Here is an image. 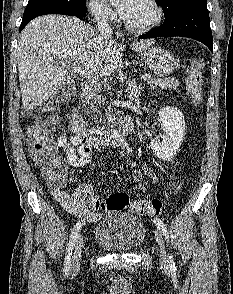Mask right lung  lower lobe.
<instances>
[{
  "instance_id": "98d812e1",
  "label": "right lung lower lobe",
  "mask_w": 233,
  "mask_h": 294,
  "mask_svg": "<svg viewBox=\"0 0 233 294\" xmlns=\"http://www.w3.org/2000/svg\"><path fill=\"white\" fill-rule=\"evenodd\" d=\"M85 14H86V10L83 11V12H81V13H79V14H74V15H71V16H75V17H78L79 19H83V17H84ZM28 23H21V26H20L19 31H21Z\"/></svg>"
}]
</instances>
